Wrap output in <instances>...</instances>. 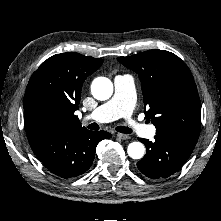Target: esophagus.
<instances>
[{
  "mask_svg": "<svg viewBox=\"0 0 221 221\" xmlns=\"http://www.w3.org/2000/svg\"><path fill=\"white\" fill-rule=\"evenodd\" d=\"M117 137L122 139V140H126V139H129V135L127 134H122V133H117Z\"/></svg>",
  "mask_w": 221,
  "mask_h": 221,
  "instance_id": "obj_1",
  "label": "esophagus"
}]
</instances>
